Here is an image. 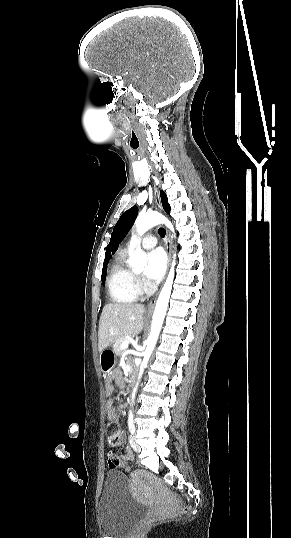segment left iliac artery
<instances>
[{"mask_svg": "<svg viewBox=\"0 0 291 538\" xmlns=\"http://www.w3.org/2000/svg\"><path fill=\"white\" fill-rule=\"evenodd\" d=\"M128 428H129V431L131 432V434L135 433V425H134V420H133V414L132 413H130L129 416H128Z\"/></svg>", "mask_w": 291, "mask_h": 538, "instance_id": "44dca946", "label": "left iliac artery"}]
</instances>
